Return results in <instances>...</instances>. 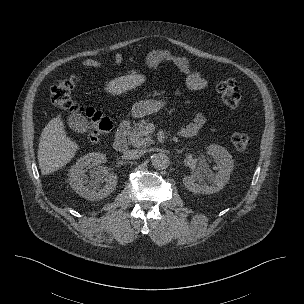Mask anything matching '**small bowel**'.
<instances>
[{"mask_svg":"<svg viewBox=\"0 0 304 304\" xmlns=\"http://www.w3.org/2000/svg\"><path fill=\"white\" fill-rule=\"evenodd\" d=\"M130 63H136L133 57L127 58ZM123 56L115 53L112 56L109 64L117 65L121 63ZM170 62L174 64L180 72L185 76L186 87L190 90L198 91L203 90L208 86L207 79L198 71L194 70L188 58L176 55L168 50H153L149 52L145 58V64L148 69H155L160 63ZM108 62L98 59H86L82 62L84 68H96L107 65ZM180 91H177L179 94ZM205 118L202 114H197L193 121L184 126L180 134L184 137H191L195 135L204 125Z\"/></svg>","mask_w":304,"mask_h":304,"instance_id":"small-bowel-1","label":"small bowel"}]
</instances>
